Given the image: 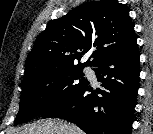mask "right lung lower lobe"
Segmentation results:
<instances>
[{
  "mask_svg": "<svg viewBox=\"0 0 153 134\" xmlns=\"http://www.w3.org/2000/svg\"><path fill=\"white\" fill-rule=\"evenodd\" d=\"M137 44L103 59L96 65L101 82L97 95L89 83L43 118L56 117L75 123L86 134H131L139 88Z\"/></svg>",
  "mask_w": 153,
  "mask_h": 134,
  "instance_id": "1",
  "label": "right lung lower lobe"
}]
</instances>
